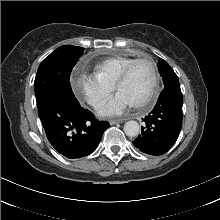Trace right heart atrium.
I'll return each mask as SVG.
<instances>
[{"label": "right heart atrium", "instance_id": "right-heart-atrium-1", "mask_svg": "<svg viewBox=\"0 0 220 220\" xmlns=\"http://www.w3.org/2000/svg\"><path fill=\"white\" fill-rule=\"evenodd\" d=\"M74 94L97 108L102 105L112 94L113 86L107 84L96 75L79 73L71 79Z\"/></svg>", "mask_w": 220, "mask_h": 220}]
</instances>
